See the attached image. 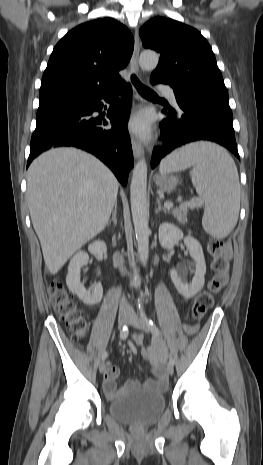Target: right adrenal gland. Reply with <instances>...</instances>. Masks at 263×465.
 Instances as JSON below:
<instances>
[{
  "mask_svg": "<svg viewBox=\"0 0 263 465\" xmlns=\"http://www.w3.org/2000/svg\"><path fill=\"white\" fill-rule=\"evenodd\" d=\"M113 222L114 226L117 225V201L114 204V210L112 212V218L108 221L107 225H110Z\"/></svg>",
  "mask_w": 263,
  "mask_h": 465,
  "instance_id": "2a0ac1e0",
  "label": "right adrenal gland"
}]
</instances>
